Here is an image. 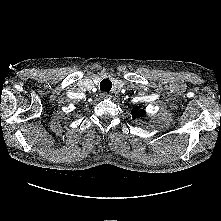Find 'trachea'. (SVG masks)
<instances>
[{"instance_id": "obj_1", "label": "trachea", "mask_w": 221, "mask_h": 221, "mask_svg": "<svg viewBox=\"0 0 221 221\" xmlns=\"http://www.w3.org/2000/svg\"><path fill=\"white\" fill-rule=\"evenodd\" d=\"M112 87V82L108 79H104L100 83V90L104 92H109Z\"/></svg>"}]
</instances>
